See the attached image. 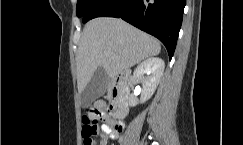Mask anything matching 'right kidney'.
Segmentation results:
<instances>
[{
	"label": "right kidney",
	"mask_w": 243,
	"mask_h": 145,
	"mask_svg": "<svg viewBox=\"0 0 243 145\" xmlns=\"http://www.w3.org/2000/svg\"><path fill=\"white\" fill-rule=\"evenodd\" d=\"M165 63L161 58L150 57L140 63L134 70V78L142 83V93L140 100L130 95V106L146 102L155 92L163 75ZM147 74L145 77L144 75Z\"/></svg>",
	"instance_id": "obj_1"
}]
</instances>
